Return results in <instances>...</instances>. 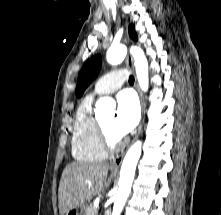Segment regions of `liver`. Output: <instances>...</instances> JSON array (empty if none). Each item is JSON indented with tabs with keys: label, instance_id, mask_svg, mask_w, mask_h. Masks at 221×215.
<instances>
[{
	"label": "liver",
	"instance_id": "liver-1",
	"mask_svg": "<svg viewBox=\"0 0 221 215\" xmlns=\"http://www.w3.org/2000/svg\"><path fill=\"white\" fill-rule=\"evenodd\" d=\"M109 164L104 162H77L63 170L59 190V213L85 206L106 186Z\"/></svg>",
	"mask_w": 221,
	"mask_h": 215
}]
</instances>
